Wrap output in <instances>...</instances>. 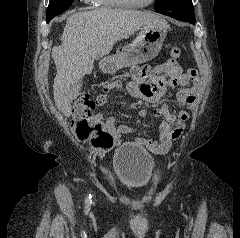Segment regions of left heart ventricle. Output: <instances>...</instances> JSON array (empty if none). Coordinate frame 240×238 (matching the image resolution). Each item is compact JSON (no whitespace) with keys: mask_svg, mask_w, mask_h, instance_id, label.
Instances as JSON below:
<instances>
[{"mask_svg":"<svg viewBox=\"0 0 240 238\" xmlns=\"http://www.w3.org/2000/svg\"><path fill=\"white\" fill-rule=\"evenodd\" d=\"M129 1L145 3V2H148L149 0H129Z\"/></svg>","mask_w":240,"mask_h":238,"instance_id":"obj_1","label":"left heart ventricle"}]
</instances>
